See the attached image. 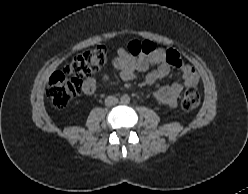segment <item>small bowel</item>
Instances as JSON below:
<instances>
[{"instance_id":"1","label":"small bowel","mask_w":248,"mask_h":194,"mask_svg":"<svg viewBox=\"0 0 248 194\" xmlns=\"http://www.w3.org/2000/svg\"><path fill=\"white\" fill-rule=\"evenodd\" d=\"M157 63L155 68H151ZM110 65L120 72L124 80L141 79L143 83L151 85L157 80L166 77L170 73V64L165 60V51L157 49L152 54L132 55L128 48L119 47L116 55L110 60ZM183 74V81L172 85L163 86L152 92L153 98L168 107H175L177 99L184 87H194L198 84V75L195 70L180 57V64L177 66ZM108 74H104V79ZM97 90L96 79L90 77L84 80L82 91L87 95L94 94Z\"/></svg>"}]
</instances>
